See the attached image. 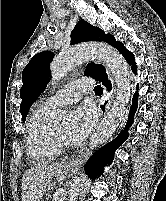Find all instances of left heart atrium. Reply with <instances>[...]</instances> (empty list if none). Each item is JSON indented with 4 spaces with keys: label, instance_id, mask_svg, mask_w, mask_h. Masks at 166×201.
<instances>
[{
    "label": "left heart atrium",
    "instance_id": "1",
    "mask_svg": "<svg viewBox=\"0 0 166 201\" xmlns=\"http://www.w3.org/2000/svg\"><path fill=\"white\" fill-rule=\"evenodd\" d=\"M96 121L95 111L88 104L77 107L71 115L68 126V141L71 144L79 145L88 136Z\"/></svg>",
    "mask_w": 166,
    "mask_h": 201
}]
</instances>
